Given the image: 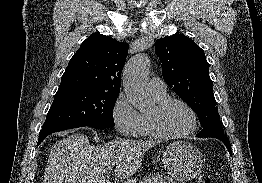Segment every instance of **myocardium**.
I'll return each instance as SVG.
<instances>
[{"label": "myocardium", "mask_w": 262, "mask_h": 183, "mask_svg": "<svg viewBox=\"0 0 262 183\" xmlns=\"http://www.w3.org/2000/svg\"><path fill=\"white\" fill-rule=\"evenodd\" d=\"M172 104H180L190 112L193 119V125L188 131L181 134H170L162 129L160 118L162 114L165 112V110L169 108ZM148 122L153 136L160 139L170 140L182 139L192 135L198 128L199 120L195 109L188 102L180 98L168 97L163 99L162 101L157 102L156 106L154 107V110L148 114Z\"/></svg>", "instance_id": "myocardium-1"}]
</instances>
